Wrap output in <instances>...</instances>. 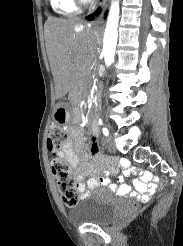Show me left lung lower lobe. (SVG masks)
<instances>
[{"label":"left lung lower lobe","mask_w":183,"mask_h":246,"mask_svg":"<svg viewBox=\"0 0 183 246\" xmlns=\"http://www.w3.org/2000/svg\"><path fill=\"white\" fill-rule=\"evenodd\" d=\"M87 20H92L93 19V15H90L88 17H86Z\"/></svg>","instance_id":"1"}]
</instances>
